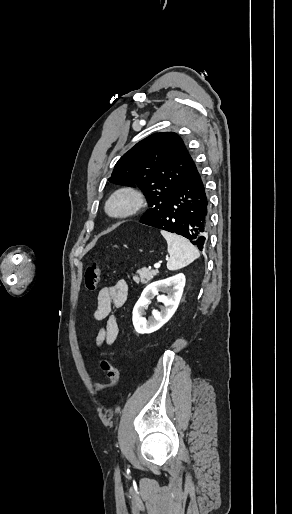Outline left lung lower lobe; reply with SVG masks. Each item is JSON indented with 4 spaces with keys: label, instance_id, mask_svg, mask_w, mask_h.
<instances>
[{
    "label": "left lung lower lobe",
    "instance_id": "left-lung-lower-lobe-1",
    "mask_svg": "<svg viewBox=\"0 0 292 514\" xmlns=\"http://www.w3.org/2000/svg\"><path fill=\"white\" fill-rule=\"evenodd\" d=\"M144 224L182 235L199 250L205 248L208 242L209 202L194 161L183 181L161 206L160 214Z\"/></svg>",
    "mask_w": 292,
    "mask_h": 514
}]
</instances>
